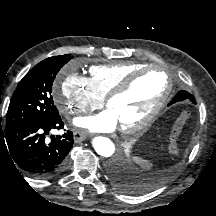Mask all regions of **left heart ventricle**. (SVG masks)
<instances>
[{
	"label": "left heart ventricle",
	"instance_id": "obj_1",
	"mask_svg": "<svg viewBox=\"0 0 216 216\" xmlns=\"http://www.w3.org/2000/svg\"><path fill=\"white\" fill-rule=\"evenodd\" d=\"M165 89V76L158 70L150 71L140 76L124 95L113 99L109 109L120 127L135 124L149 113Z\"/></svg>",
	"mask_w": 216,
	"mask_h": 216
}]
</instances>
